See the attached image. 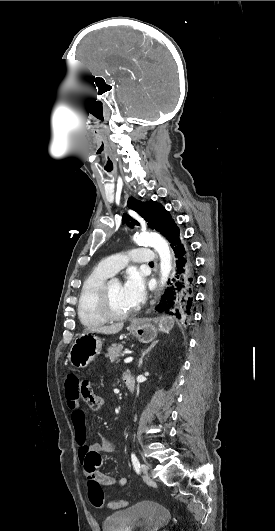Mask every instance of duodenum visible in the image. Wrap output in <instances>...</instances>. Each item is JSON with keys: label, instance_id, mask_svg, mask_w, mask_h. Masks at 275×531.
I'll list each match as a JSON object with an SVG mask.
<instances>
[{"label": "duodenum", "instance_id": "1", "mask_svg": "<svg viewBox=\"0 0 275 531\" xmlns=\"http://www.w3.org/2000/svg\"><path fill=\"white\" fill-rule=\"evenodd\" d=\"M123 382L129 392V395L132 396L134 394V387H135L133 375L130 372H125L123 374Z\"/></svg>", "mask_w": 275, "mask_h": 531}]
</instances>
